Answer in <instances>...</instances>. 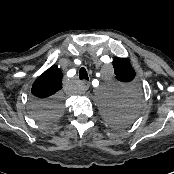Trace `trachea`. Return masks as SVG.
Masks as SVG:
<instances>
[{"instance_id": "obj_1", "label": "trachea", "mask_w": 174, "mask_h": 174, "mask_svg": "<svg viewBox=\"0 0 174 174\" xmlns=\"http://www.w3.org/2000/svg\"><path fill=\"white\" fill-rule=\"evenodd\" d=\"M79 78L80 79H85V80H89V77H88V74H87V71L84 67H82L79 71Z\"/></svg>"}]
</instances>
